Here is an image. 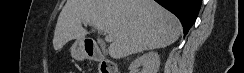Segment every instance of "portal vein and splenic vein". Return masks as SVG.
Returning <instances> with one entry per match:
<instances>
[{
  "label": "portal vein and splenic vein",
  "mask_w": 244,
  "mask_h": 73,
  "mask_svg": "<svg viewBox=\"0 0 244 73\" xmlns=\"http://www.w3.org/2000/svg\"><path fill=\"white\" fill-rule=\"evenodd\" d=\"M85 24H87V23H85ZM113 40H114V36L113 35L108 34V35L105 36V41L106 42H112Z\"/></svg>",
  "instance_id": "obj_1"
}]
</instances>
